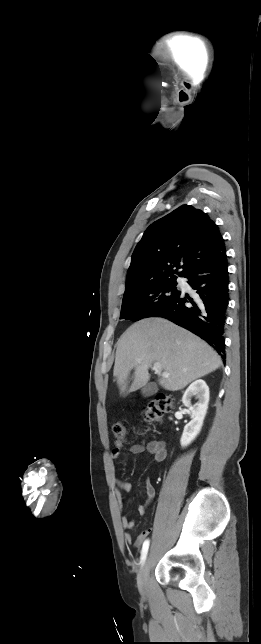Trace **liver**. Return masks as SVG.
<instances>
[{"instance_id": "obj_1", "label": "liver", "mask_w": 261, "mask_h": 644, "mask_svg": "<svg viewBox=\"0 0 261 644\" xmlns=\"http://www.w3.org/2000/svg\"><path fill=\"white\" fill-rule=\"evenodd\" d=\"M155 362L169 374L158 380L169 391L183 389L222 365L220 356L196 335L166 319L146 318L131 325L117 342L113 375L121 393L126 390L133 368L135 376L129 392L145 386L148 369Z\"/></svg>"}]
</instances>
